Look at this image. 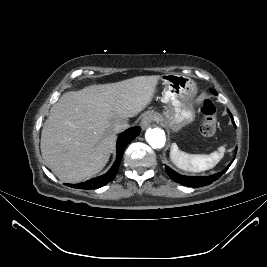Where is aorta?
Returning a JSON list of instances; mask_svg holds the SVG:
<instances>
[{"label":"aorta","instance_id":"1","mask_svg":"<svg viewBox=\"0 0 267 267\" xmlns=\"http://www.w3.org/2000/svg\"><path fill=\"white\" fill-rule=\"evenodd\" d=\"M145 138L152 148H162L166 142L165 132L159 128H149Z\"/></svg>","mask_w":267,"mask_h":267}]
</instances>
